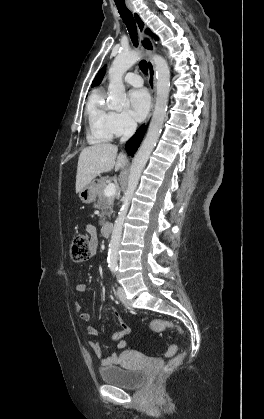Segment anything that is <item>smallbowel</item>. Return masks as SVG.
<instances>
[{
    "label": "small bowel",
    "instance_id": "small-bowel-1",
    "mask_svg": "<svg viewBox=\"0 0 264 419\" xmlns=\"http://www.w3.org/2000/svg\"><path fill=\"white\" fill-rule=\"evenodd\" d=\"M87 232L90 236L91 251L92 253H94L97 247V243H98L96 227L92 224H89L87 226ZM86 289H87V285L85 283H78L75 286V290L79 293L86 291ZM75 309L79 313V317L82 321L87 322V323L90 322L91 320L90 313L84 311L80 303L77 302L75 304ZM119 322H120V329L113 334V341L116 344V348L118 350H122L126 346L124 337L129 333V327L120 319H119ZM87 332L91 336L97 335V330L91 325L87 326ZM90 346L92 350L94 351V353L100 359V363L103 367L114 366L121 362L120 356L117 355L116 353L110 354V355H104L102 346L100 345L99 342L91 341Z\"/></svg>",
    "mask_w": 264,
    "mask_h": 419
}]
</instances>
